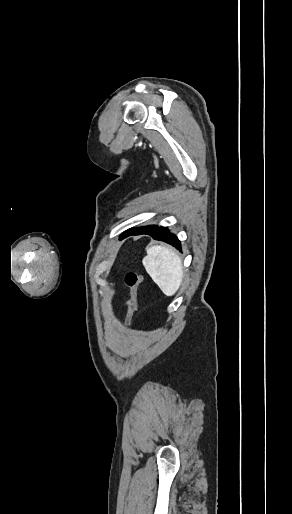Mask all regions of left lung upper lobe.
<instances>
[{"mask_svg": "<svg viewBox=\"0 0 292 514\" xmlns=\"http://www.w3.org/2000/svg\"><path fill=\"white\" fill-rule=\"evenodd\" d=\"M151 225H148V226H144V227H140V228H132L130 231H126L125 233H123L122 237L121 238H125L127 237L128 235L130 234H133V233H139V232H142L146 229H148Z\"/></svg>", "mask_w": 292, "mask_h": 514, "instance_id": "1", "label": "left lung upper lobe"}]
</instances>
